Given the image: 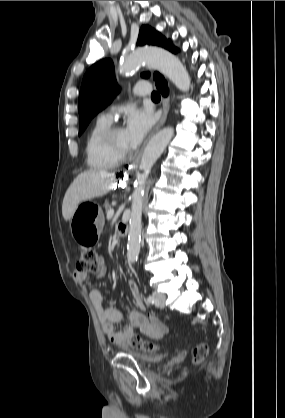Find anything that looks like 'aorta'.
Wrapping results in <instances>:
<instances>
[{
    "label": "aorta",
    "mask_w": 285,
    "mask_h": 418,
    "mask_svg": "<svg viewBox=\"0 0 285 418\" xmlns=\"http://www.w3.org/2000/svg\"><path fill=\"white\" fill-rule=\"evenodd\" d=\"M143 62L163 73L182 92L189 91L191 80L185 67L177 57L161 48L149 47L133 51L122 60L119 72L120 74L131 72ZM173 135L172 127L162 129L148 142L141 158L139 168L142 173L135 180L129 221L127 256L131 263L137 260L140 252L141 219L146 181L153 165L164 152Z\"/></svg>",
    "instance_id": "aorta-1"
}]
</instances>
